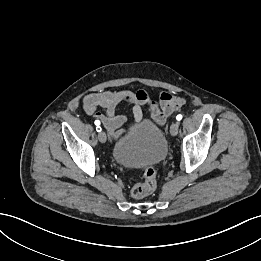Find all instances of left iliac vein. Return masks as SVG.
I'll list each match as a JSON object with an SVG mask.
<instances>
[{"instance_id": "1", "label": "left iliac vein", "mask_w": 261, "mask_h": 261, "mask_svg": "<svg viewBox=\"0 0 261 261\" xmlns=\"http://www.w3.org/2000/svg\"><path fill=\"white\" fill-rule=\"evenodd\" d=\"M179 122H175L170 126V133L172 136H176L178 134Z\"/></svg>"}]
</instances>
